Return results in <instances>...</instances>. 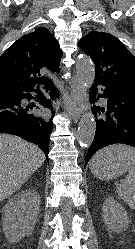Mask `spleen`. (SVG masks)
<instances>
[{
  "label": "spleen",
  "instance_id": "3e777b00",
  "mask_svg": "<svg viewBox=\"0 0 135 249\" xmlns=\"http://www.w3.org/2000/svg\"><path fill=\"white\" fill-rule=\"evenodd\" d=\"M114 157L124 159L129 164V173L122 184H116L119 197L135 210V149L125 145H113L99 151L91 160L90 165L99 159Z\"/></svg>",
  "mask_w": 135,
  "mask_h": 249
}]
</instances>
